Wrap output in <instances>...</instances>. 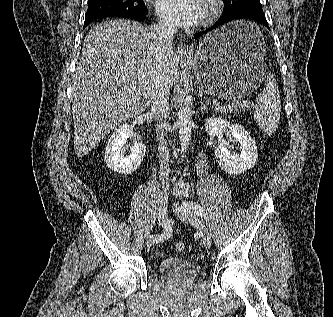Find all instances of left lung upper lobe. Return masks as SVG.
I'll list each match as a JSON object with an SVG mask.
<instances>
[{
  "label": "left lung upper lobe",
  "instance_id": "5c2ea615",
  "mask_svg": "<svg viewBox=\"0 0 333 317\" xmlns=\"http://www.w3.org/2000/svg\"><path fill=\"white\" fill-rule=\"evenodd\" d=\"M224 13H229L241 9L261 7L260 0H223Z\"/></svg>",
  "mask_w": 333,
  "mask_h": 317
}]
</instances>
